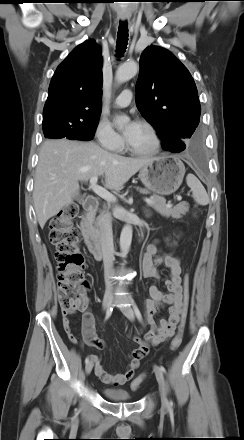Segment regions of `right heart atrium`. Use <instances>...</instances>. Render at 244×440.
Returning <instances> with one entry per match:
<instances>
[{"mask_svg": "<svg viewBox=\"0 0 244 440\" xmlns=\"http://www.w3.org/2000/svg\"><path fill=\"white\" fill-rule=\"evenodd\" d=\"M95 138L98 143L110 151H118L123 146L122 137L114 130L112 124L105 118H101L95 128Z\"/></svg>", "mask_w": 244, "mask_h": 440, "instance_id": "d8ad5b80", "label": "right heart atrium"}]
</instances>
